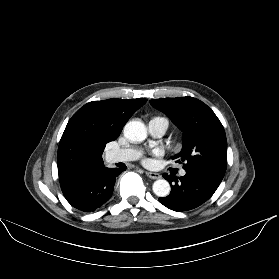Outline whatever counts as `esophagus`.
<instances>
[{
  "instance_id": "34e87169",
  "label": "esophagus",
  "mask_w": 279,
  "mask_h": 279,
  "mask_svg": "<svg viewBox=\"0 0 279 279\" xmlns=\"http://www.w3.org/2000/svg\"><path fill=\"white\" fill-rule=\"evenodd\" d=\"M145 174H146L149 178H151V179H159V178H161V175L158 174V173H153V172H148V171H146Z\"/></svg>"
}]
</instances>
